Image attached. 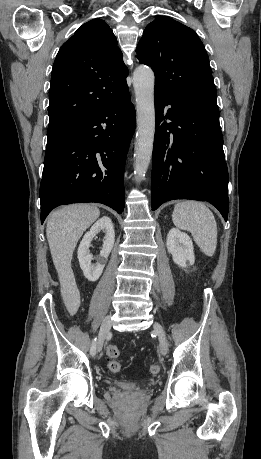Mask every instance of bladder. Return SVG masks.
<instances>
[{
	"label": "bladder",
	"instance_id": "obj_1",
	"mask_svg": "<svg viewBox=\"0 0 261 459\" xmlns=\"http://www.w3.org/2000/svg\"><path fill=\"white\" fill-rule=\"evenodd\" d=\"M115 385L122 389V390H127V391H131V390H135L137 389L138 387V384L135 383V382H130V381H127V382H124V381H116L115 382Z\"/></svg>",
	"mask_w": 261,
	"mask_h": 459
}]
</instances>
